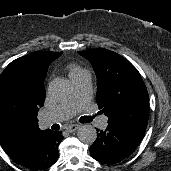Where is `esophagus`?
<instances>
[{
  "mask_svg": "<svg viewBox=\"0 0 171 171\" xmlns=\"http://www.w3.org/2000/svg\"><path fill=\"white\" fill-rule=\"evenodd\" d=\"M80 128V125H78V124H71V125H68L67 127H66V130L68 131V132H73V131H76L77 129H79Z\"/></svg>",
  "mask_w": 171,
  "mask_h": 171,
  "instance_id": "34e87169",
  "label": "esophagus"
}]
</instances>
